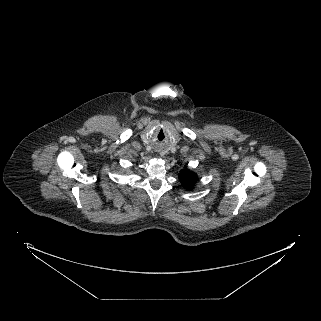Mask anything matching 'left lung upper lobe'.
Returning <instances> with one entry per match:
<instances>
[{"label": "left lung upper lobe", "instance_id": "5c2ea615", "mask_svg": "<svg viewBox=\"0 0 321 321\" xmlns=\"http://www.w3.org/2000/svg\"><path fill=\"white\" fill-rule=\"evenodd\" d=\"M179 179L183 186L189 190L193 187L194 183L196 182L197 176L195 175V173L189 170H183L179 175Z\"/></svg>", "mask_w": 321, "mask_h": 321}]
</instances>
